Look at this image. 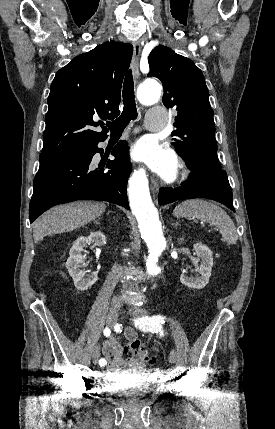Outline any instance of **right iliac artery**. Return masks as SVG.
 I'll return each mask as SVG.
<instances>
[{"mask_svg": "<svg viewBox=\"0 0 275 429\" xmlns=\"http://www.w3.org/2000/svg\"><path fill=\"white\" fill-rule=\"evenodd\" d=\"M103 333H104V335H105L106 337H109V336H110V334H111V330H110L108 327H106V328L104 329ZM105 364H106V360H105L104 358H101V359L99 360V365L102 367V366H105Z\"/></svg>", "mask_w": 275, "mask_h": 429, "instance_id": "1", "label": "right iliac artery"}]
</instances>
